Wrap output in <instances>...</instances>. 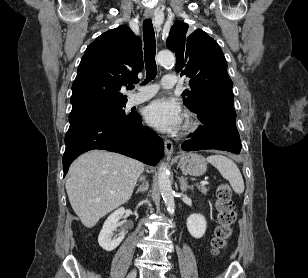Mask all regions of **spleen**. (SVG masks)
Wrapping results in <instances>:
<instances>
[{"label":"spleen","mask_w":308,"mask_h":278,"mask_svg":"<svg viewBox=\"0 0 308 278\" xmlns=\"http://www.w3.org/2000/svg\"><path fill=\"white\" fill-rule=\"evenodd\" d=\"M207 161L217 168L223 178L229 181L235 193L241 194L244 192L242 175L232 159L221 154H214L207 157Z\"/></svg>","instance_id":"1"}]
</instances>
